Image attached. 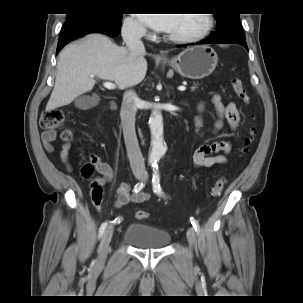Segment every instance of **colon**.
I'll use <instances>...</instances> for the list:
<instances>
[{
  "label": "colon",
  "instance_id": "obj_1",
  "mask_svg": "<svg viewBox=\"0 0 303 303\" xmlns=\"http://www.w3.org/2000/svg\"><path fill=\"white\" fill-rule=\"evenodd\" d=\"M231 85L236 93V95L239 97V99L243 103H249V95L245 89L244 83L240 77L234 76L231 79ZM64 125V114L61 110L59 109H54V110H47L45 111L40 119V126L44 129H60L63 128ZM256 133V129L254 127L250 128V135L253 136ZM62 138L64 141L70 142L73 140V134L72 131L69 129H63L62 131ZM248 149V141L244 144V146L241 149L242 153H245ZM82 173L86 177H90L94 173V164L92 162L90 163H85L82 166ZM227 182L226 177H220L215 181L213 186L211 187L210 190V197L211 198H216L220 195L222 192L225 184ZM91 197L92 201L94 203H100L103 199V189L101 183L96 180L92 183L91 186ZM150 214L147 211L140 210L137 211L136 213V218L138 220H147L149 218Z\"/></svg>",
  "mask_w": 303,
  "mask_h": 303
}]
</instances>
